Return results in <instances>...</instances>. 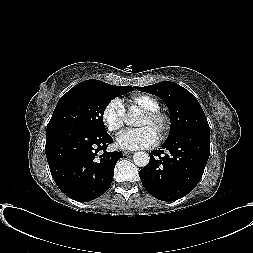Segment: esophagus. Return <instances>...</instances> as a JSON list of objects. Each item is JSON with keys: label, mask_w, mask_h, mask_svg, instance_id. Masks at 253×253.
Masks as SVG:
<instances>
[{"label": "esophagus", "mask_w": 253, "mask_h": 253, "mask_svg": "<svg viewBox=\"0 0 253 253\" xmlns=\"http://www.w3.org/2000/svg\"><path fill=\"white\" fill-rule=\"evenodd\" d=\"M133 153H134V152H132V151H125V152H124V155H125V156H127V155H132Z\"/></svg>", "instance_id": "34e87169"}]
</instances>
